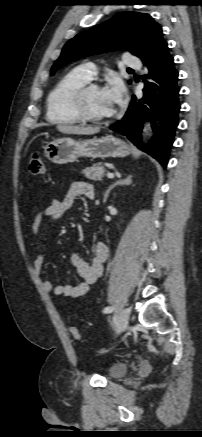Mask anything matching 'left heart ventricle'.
Returning a JSON list of instances; mask_svg holds the SVG:
<instances>
[{
    "label": "left heart ventricle",
    "mask_w": 202,
    "mask_h": 437,
    "mask_svg": "<svg viewBox=\"0 0 202 437\" xmlns=\"http://www.w3.org/2000/svg\"><path fill=\"white\" fill-rule=\"evenodd\" d=\"M86 106L88 111L97 117L108 116L112 114L115 109L103 88H96L89 91Z\"/></svg>",
    "instance_id": "obj_1"
}]
</instances>
